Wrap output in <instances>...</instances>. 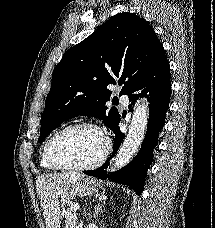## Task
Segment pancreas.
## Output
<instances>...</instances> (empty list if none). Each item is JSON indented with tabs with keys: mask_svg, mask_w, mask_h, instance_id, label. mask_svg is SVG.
<instances>
[{
	"mask_svg": "<svg viewBox=\"0 0 215 228\" xmlns=\"http://www.w3.org/2000/svg\"><path fill=\"white\" fill-rule=\"evenodd\" d=\"M78 220V214L76 210H73L72 206L71 208H67V212H65V226L64 228H75Z\"/></svg>",
	"mask_w": 215,
	"mask_h": 228,
	"instance_id": "1",
	"label": "pancreas"
}]
</instances>
